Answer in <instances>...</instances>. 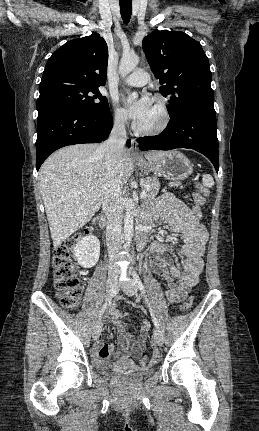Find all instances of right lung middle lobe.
Here are the masks:
<instances>
[{"label": "right lung middle lobe", "instance_id": "right-lung-middle-lobe-1", "mask_svg": "<svg viewBox=\"0 0 259 431\" xmlns=\"http://www.w3.org/2000/svg\"><path fill=\"white\" fill-rule=\"evenodd\" d=\"M68 105L85 110L100 112L109 110L106 97L96 87H81L68 82L53 81L40 89L37 100L38 113L45 109Z\"/></svg>", "mask_w": 259, "mask_h": 431}]
</instances>
